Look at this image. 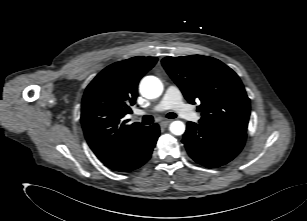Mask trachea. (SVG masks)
Segmentation results:
<instances>
[{
    "label": "trachea",
    "mask_w": 307,
    "mask_h": 221,
    "mask_svg": "<svg viewBox=\"0 0 307 221\" xmlns=\"http://www.w3.org/2000/svg\"><path fill=\"white\" fill-rule=\"evenodd\" d=\"M177 117V115L175 114V113H168L167 114V118H169V119H173V118H176ZM153 117L151 116V115H145L143 118H142V123L144 124V125H149V124H151V123H153Z\"/></svg>",
    "instance_id": "trachea-1"
}]
</instances>
